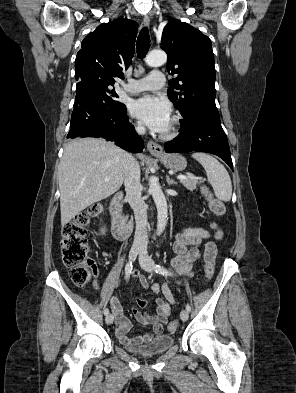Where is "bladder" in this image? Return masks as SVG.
Returning <instances> with one entry per match:
<instances>
[{"mask_svg": "<svg viewBox=\"0 0 296 393\" xmlns=\"http://www.w3.org/2000/svg\"><path fill=\"white\" fill-rule=\"evenodd\" d=\"M173 344L174 337L172 335L159 334L154 336L147 344L143 346H125V349L141 356H153L164 353L170 347H172Z\"/></svg>", "mask_w": 296, "mask_h": 393, "instance_id": "bladder-1", "label": "bladder"}]
</instances>
